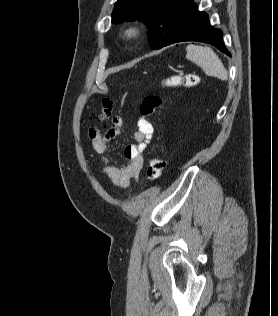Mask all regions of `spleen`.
I'll return each instance as SVG.
<instances>
[{"mask_svg":"<svg viewBox=\"0 0 278 316\" xmlns=\"http://www.w3.org/2000/svg\"><path fill=\"white\" fill-rule=\"evenodd\" d=\"M186 58L200 66L207 75L221 80L228 79V73L218 55L210 47L189 45L186 47Z\"/></svg>","mask_w":278,"mask_h":316,"instance_id":"obj_1","label":"spleen"}]
</instances>
